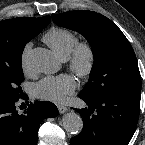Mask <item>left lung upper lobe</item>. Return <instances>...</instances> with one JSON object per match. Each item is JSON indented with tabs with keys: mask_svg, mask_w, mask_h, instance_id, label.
I'll return each instance as SVG.
<instances>
[{
	"mask_svg": "<svg viewBox=\"0 0 145 145\" xmlns=\"http://www.w3.org/2000/svg\"><path fill=\"white\" fill-rule=\"evenodd\" d=\"M55 24L75 30L90 43L94 64L80 94L103 97L116 92L141 90V76L131 44L107 17L86 10L52 14Z\"/></svg>",
	"mask_w": 145,
	"mask_h": 145,
	"instance_id": "5c2ea615",
	"label": "left lung upper lobe"
}]
</instances>
